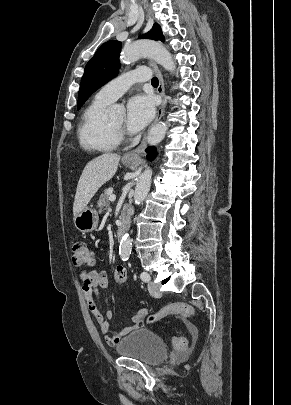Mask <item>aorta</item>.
<instances>
[{
	"label": "aorta",
	"instance_id": "aorta-1",
	"mask_svg": "<svg viewBox=\"0 0 291 405\" xmlns=\"http://www.w3.org/2000/svg\"><path fill=\"white\" fill-rule=\"evenodd\" d=\"M142 56L153 59L169 72H174L176 69V64L171 53L161 43L152 40H138L125 46L121 52L120 61L125 64L132 63ZM120 112L121 109L118 106H112L109 110L110 116H115ZM166 131L167 126L165 124L158 123L152 126L147 137L149 145L160 143L164 139ZM151 177L152 170L149 168L140 175L134 192V202L136 205H140L146 198L151 187ZM131 247V238L128 233H125L119 246L121 259H128L131 254Z\"/></svg>",
	"mask_w": 291,
	"mask_h": 405
}]
</instances>
